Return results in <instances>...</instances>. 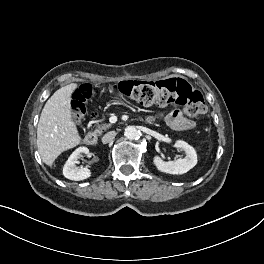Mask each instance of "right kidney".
<instances>
[{
  "mask_svg": "<svg viewBox=\"0 0 264 264\" xmlns=\"http://www.w3.org/2000/svg\"><path fill=\"white\" fill-rule=\"evenodd\" d=\"M83 154H89V149L87 147H79L70 155L63 167L64 177L70 180L80 181L91 176V171L88 168L77 167L79 163L78 159H80Z\"/></svg>",
  "mask_w": 264,
  "mask_h": 264,
  "instance_id": "ca27d5eb",
  "label": "right kidney"
}]
</instances>
